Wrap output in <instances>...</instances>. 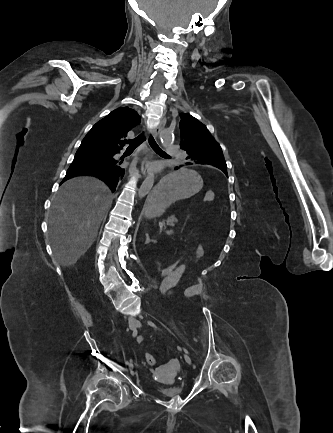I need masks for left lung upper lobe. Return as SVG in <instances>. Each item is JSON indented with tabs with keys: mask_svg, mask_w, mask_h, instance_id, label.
<instances>
[{
	"mask_svg": "<svg viewBox=\"0 0 333 433\" xmlns=\"http://www.w3.org/2000/svg\"><path fill=\"white\" fill-rule=\"evenodd\" d=\"M179 116L181 118L180 146L187 153L186 161L180 167L192 164L211 165L221 169L227 175L222 149L206 126L188 113H180Z\"/></svg>",
	"mask_w": 333,
	"mask_h": 433,
	"instance_id": "1",
	"label": "left lung upper lobe"
}]
</instances>
